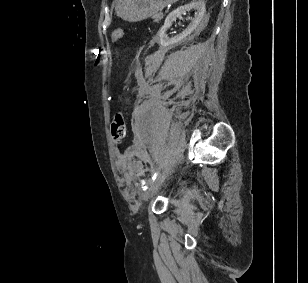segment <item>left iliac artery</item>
<instances>
[{"mask_svg":"<svg viewBox=\"0 0 308 283\" xmlns=\"http://www.w3.org/2000/svg\"><path fill=\"white\" fill-rule=\"evenodd\" d=\"M158 174V170L155 168L152 170V180H155L156 179V176Z\"/></svg>","mask_w":308,"mask_h":283,"instance_id":"obj_1","label":"left iliac artery"}]
</instances>
